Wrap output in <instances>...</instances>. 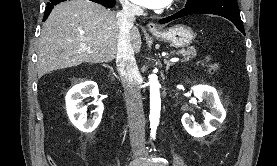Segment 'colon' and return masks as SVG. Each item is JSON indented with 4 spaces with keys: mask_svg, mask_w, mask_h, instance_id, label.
Here are the masks:
<instances>
[{
    "mask_svg": "<svg viewBox=\"0 0 277 166\" xmlns=\"http://www.w3.org/2000/svg\"><path fill=\"white\" fill-rule=\"evenodd\" d=\"M203 64L207 66L210 70H215L217 68V65L215 63H212L210 59H206Z\"/></svg>",
    "mask_w": 277,
    "mask_h": 166,
    "instance_id": "1",
    "label": "colon"
}]
</instances>
